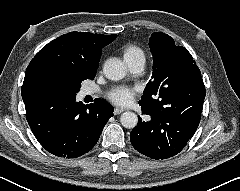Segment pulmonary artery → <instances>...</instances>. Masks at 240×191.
Returning <instances> with one entry per match:
<instances>
[{"instance_id":"pulmonary-artery-1","label":"pulmonary artery","mask_w":240,"mask_h":191,"mask_svg":"<svg viewBox=\"0 0 240 191\" xmlns=\"http://www.w3.org/2000/svg\"><path fill=\"white\" fill-rule=\"evenodd\" d=\"M125 62L131 71L138 73L142 71L145 64V59L142 57H138V58L126 60ZM92 93H93L92 90L87 91V94H92Z\"/></svg>"}]
</instances>
